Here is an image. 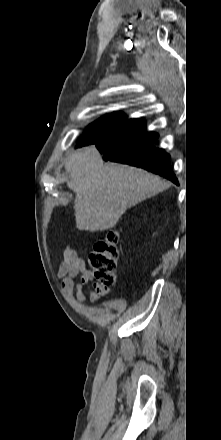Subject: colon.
Instances as JSON below:
<instances>
[{
  "label": "colon",
  "mask_w": 221,
  "mask_h": 440,
  "mask_svg": "<svg viewBox=\"0 0 221 440\" xmlns=\"http://www.w3.org/2000/svg\"><path fill=\"white\" fill-rule=\"evenodd\" d=\"M119 234L111 231L105 239L94 244L89 255V264L93 270L95 280L103 287L109 288L115 282L114 272L119 260Z\"/></svg>",
  "instance_id": "1"
}]
</instances>
